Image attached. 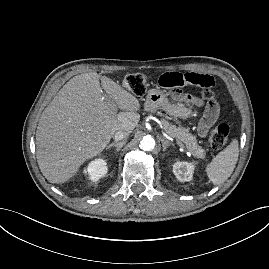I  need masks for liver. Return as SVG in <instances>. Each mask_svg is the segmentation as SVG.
<instances>
[{
  "mask_svg": "<svg viewBox=\"0 0 269 269\" xmlns=\"http://www.w3.org/2000/svg\"><path fill=\"white\" fill-rule=\"evenodd\" d=\"M102 89L121 112H112ZM140 107L134 95L107 76L96 72L74 76L38 123L36 157L42 174L51 183L68 181L86 160L103 151L117 131L130 133L138 126Z\"/></svg>",
  "mask_w": 269,
  "mask_h": 269,
  "instance_id": "liver-1",
  "label": "liver"
}]
</instances>
